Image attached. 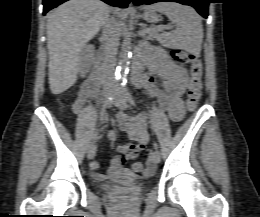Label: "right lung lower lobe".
<instances>
[{"label":"right lung lower lobe","instance_id":"1","mask_svg":"<svg viewBox=\"0 0 260 217\" xmlns=\"http://www.w3.org/2000/svg\"><path fill=\"white\" fill-rule=\"evenodd\" d=\"M68 0H43V14H46L52 8L57 7L59 4ZM109 5L115 7L126 8L131 0H102Z\"/></svg>","mask_w":260,"mask_h":217}]
</instances>
